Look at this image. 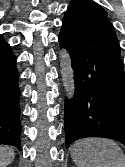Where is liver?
I'll return each mask as SVG.
<instances>
[{"mask_svg":"<svg viewBox=\"0 0 125 167\" xmlns=\"http://www.w3.org/2000/svg\"><path fill=\"white\" fill-rule=\"evenodd\" d=\"M15 158L13 147L0 145V167L8 166Z\"/></svg>","mask_w":125,"mask_h":167,"instance_id":"6515ba94","label":"liver"}]
</instances>
